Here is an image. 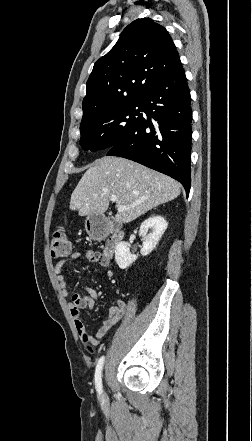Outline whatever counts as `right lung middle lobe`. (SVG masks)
I'll return each instance as SVG.
<instances>
[{"instance_id":"obj_1","label":"right lung middle lobe","mask_w":252,"mask_h":441,"mask_svg":"<svg viewBox=\"0 0 252 441\" xmlns=\"http://www.w3.org/2000/svg\"><path fill=\"white\" fill-rule=\"evenodd\" d=\"M142 101L105 110L81 123L80 145L84 150L111 148L134 129L142 118Z\"/></svg>"}]
</instances>
